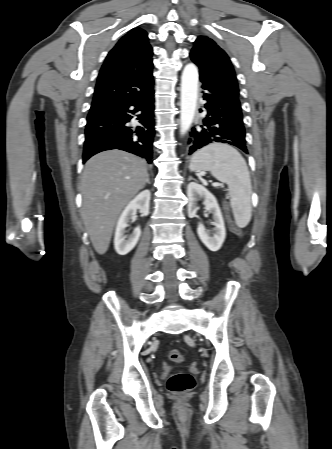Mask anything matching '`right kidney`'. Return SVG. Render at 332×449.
<instances>
[{
    "label": "right kidney",
    "instance_id": "ca27d5eb",
    "mask_svg": "<svg viewBox=\"0 0 332 449\" xmlns=\"http://www.w3.org/2000/svg\"><path fill=\"white\" fill-rule=\"evenodd\" d=\"M150 197L151 193L149 190L142 191L129 202L120 215L114 238V247L119 255L128 254L136 246L141 235L140 227H136L129 237L124 235L125 228L128 227V222L130 219L136 217V212L138 209L143 216H147L149 214Z\"/></svg>",
    "mask_w": 332,
    "mask_h": 449
}]
</instances>
